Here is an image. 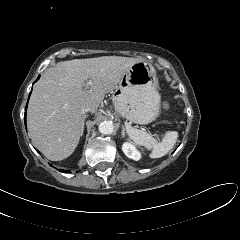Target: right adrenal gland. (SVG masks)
I'll list each match as a JSON object with an SVG mask.
<instances>
[{
	"label": "right adrenal gland",
	"instance_id": "right-adrenal-gland-1",
	"mask_svg": "<svg viewBox=\"0 0 240 240\" xmlns=\"http://www.w3.org/2000/svg\"><path fill=\"white\" fill-rule=\"evenodd\" d=\"M85 119H86V116H83V121H85ZM83 130H84V123H83ZM82 135H83V133H82Z\"/></svg>",
	"mask_w": 240,
	"mask_h": 240
}]
</instances>
